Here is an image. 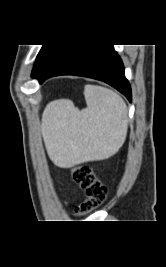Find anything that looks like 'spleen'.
<instances>
[{
	"label": "spleen",
	"mask_w": 166,
	"mask_h": 267,
	"mask_svg": "<svg viewBox=\"0 0 166 267\" xmlns=\"http://www.w3.org/2000/svg\"><path fill=\"white\" fill-rule=\"evenodd\" d=\"M87 108L50 104L42 117V134L51 160L70 167L106 159L123 145L127 135V107L114 91L86 85Z\"/></svg>",
	"instance_id": "obj_1"
}]
</instances>
